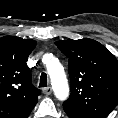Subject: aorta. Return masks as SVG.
<instances>
[{"instance_id":"1","label":"aorta","mask_w":118,"mask_h":118,"mask_svg":"<svg viewBox=\"0 0 118 118\" xmlns=\"http://www.w3.org/2000/svg\"><path fill=\"white\" fill-rule=\"evenodd\" d=\"M46 69L51 79L54 95L58 100H66L70 90L63 66L57 58L51 57L46 62Z\"/></svg>"}]
</instances>
